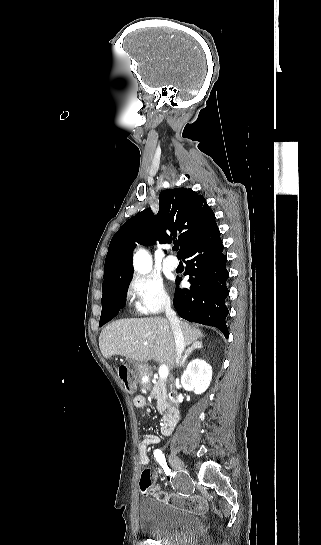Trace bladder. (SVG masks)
Wrapping results in <instances>:
<instances>
[{"label": "bladder", "mask_w": 321, "mask_h": 545, "mask_svg": "<svg viewBox=\"0 0 321 545\" xmlns=\"http://www.w3.org/2000/svg\"><path fill=\"white\" fill-rule=\"evenodd\" d=\"M138 526L142 534L161 545H191L203 529L198 514L173 506L159 496L140 501Z\"/></svg>", "instance_id": "obj_1"}]
</instances>
